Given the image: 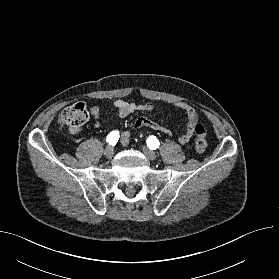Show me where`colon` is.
I'll return each instance as SVG.
<instances>
[{
    "label": "colon",
    "mask_w": 279,
    "mask_h": 279,
    "mask_svg": "<svg viewBox=\"0 0 279 279\" xmlns=\"http://www.w3.org/2000/svg\"><path fill=\"white\" fill-rule=\"evenodd\" d=\"M89 112L84 103H75L65 108L60 116L61 126L68 128L72 132L78 131L88 120ZM195 147L197 151L202 152L207 148V128L203 124H197L195 127Z\"/></svg>",
    "instance_id": "5ec220e1"
}]
</instances>
